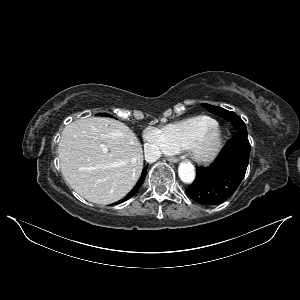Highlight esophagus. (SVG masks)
Wrapping results in <instances>:
<instances>
[{"label": "esophagus", "instance_id": "obj_1", "mask_svg": "<svg viewBox=\"0 0 300 300\" xmlns=\"http://www.w3.org/2000/svg\"><path fill=\"white\" fill-rule=\"evenodd\" d=\"M168 161L172 163H177L179 160L177 158H169Z\"/></svg>", "mask_w": 300, "mask_h": 300}]
</instances>
